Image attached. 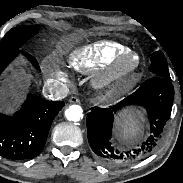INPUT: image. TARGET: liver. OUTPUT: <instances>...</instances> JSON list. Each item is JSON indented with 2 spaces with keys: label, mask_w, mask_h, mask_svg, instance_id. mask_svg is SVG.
I'll return each instance as SVG.
<instances>
[{
  "label": "liver",
  "mask_w": 183,
  "mask_h": 183,
  "mask_svg": "<svg viewBox=\"0 0 183 183\" xmlns=\"http://www.w3.org/2000/svg\"><path fill=\"white\" fill-rule=\"evenodd\" d=\"M24 77H26L25 73L12 70L10 78L6 80L7 82H9V87L6 86V88L4 89V101L7 107L11 106L19 98V92L17 91V89L18 87L22 86L20 82L24 80Z\"/></svg>",
  "instance_id": "obj_1"
}]
</instances>
